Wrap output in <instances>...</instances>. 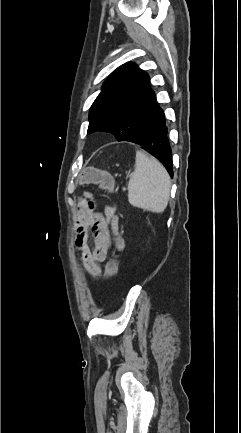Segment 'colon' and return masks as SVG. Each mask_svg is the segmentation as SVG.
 Segmentation results:
<instances>
[{
	"label": "colon",
	"instance_id": "5ec220e1",
	"mask_svg": "<svg viewBox=\"0 0 241 433\" xmlns=\"http://www.w3.org/2000/svg\"><path fill=\"white\" fill-rule=\"evenodd\" d=\"M83 175V176H82ZM82 175H79L81 182L89 184L92 180L98 183L104 190H110L113 184L112 176L109 172L102 169L83 168ZM118 271V262L116 258H111L105 266V277L111 280L115 277Z\"/></svg>",
	"mask_w": 241,
	"mask_h": 433
}]
</instances>
